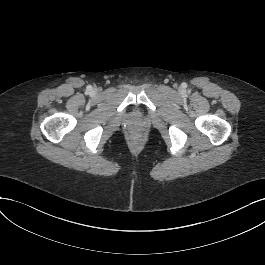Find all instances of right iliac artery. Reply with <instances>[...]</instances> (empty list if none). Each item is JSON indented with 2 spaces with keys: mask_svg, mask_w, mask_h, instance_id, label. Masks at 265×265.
<instances>
[{
  "mask_svg": "<svg viewBox=\"0 0 265 265\" xmlns=\"http://www.w3.org/2000/svg\"><path fill=\"white\" fill-rule=\"evenodd\" d=\"M87 89H88V90H91V89H92V87H91V86H88V87H87Z\"/></svg>",
  "mask_w": 265,
  "mask_h": 265,
  "instance_id": "obj_1",
  "label": "right iliac artery"
}]
</instances>
